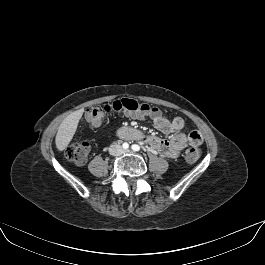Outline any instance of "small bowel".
<instances>
[{"label": "small bowel", "mask_w": 265, "mask_h": 265, "mask_svg": "<svg viewBox=\"0 0 265 265\" xmlns=\"http://www.w3.org/2000/svg\"><path fill=\"white\" fill-rule=\"evenodd\" d=\"M131 117L137 119L145 118V116L138 114H132ZM151 119L155 128L161 133H173L169 139L158 136L145 137V141L149 144V146L164 157L175 159L187 145L199 146L202 144L203 138L198 131L193 130L187 133H182L185 122L180 117L169 120L160 114L158 116L151 117Z\"/></svg>", "instance_id": "c3829d8e"}]
</instances>
